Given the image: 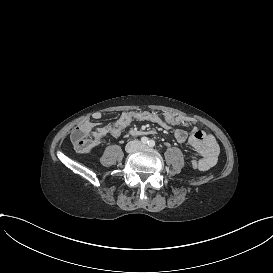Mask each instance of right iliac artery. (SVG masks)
<instances>
[{
  "instance_id": "1",
  "label": "right iliac artery",
  "mask_w": 273,
  "mask_h": 273,
  "mask_svg": "<svg viewBox=\"0 0 273 273\" xmlns=\"http://www.w3.org/2000/svg\"><path fill=\"white\" fill-rule=\"evenodd\" d=\"M141 142H142L143 144H147V143L149 142V140H148L147 137H142V138H141Z\"/></svg>"
}]
</instances>
